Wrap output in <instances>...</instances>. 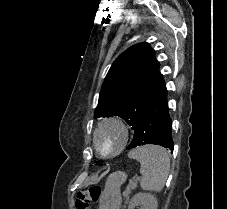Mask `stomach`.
Instances as JSON below:
<instances>
[{"mask_svg": "<svg viewBox=\"0 0 227 209\" xmlns=\"http://www.w3.org/2000/svg\"><path fill=\"white\" fill-rule=\"evenodd\" d=\"M126 180V174L116 171L109 175L100 198V209H120V187Z\"/></svg>", "mask_w": 227, "mask_h": 209, "instance_id": "obj_1", "label": "stomach"}]
</instances>
